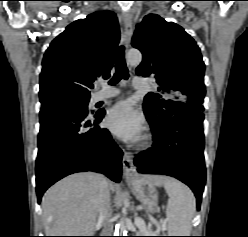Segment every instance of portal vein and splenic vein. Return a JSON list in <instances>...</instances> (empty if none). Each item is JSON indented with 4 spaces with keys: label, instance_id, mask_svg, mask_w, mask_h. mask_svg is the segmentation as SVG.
<instances>
[{
    "label": "portal vein and splenic vein",
    "instance_id": "18ae733b",
    "mask_svg": "<svg viewBox=\"0 0 248 237\" xmlns=\"http://www.w3.org/2000/svg\"><path fill=\"white\" fill-rule=\"evenodd\" d=\"M135 225L137 227L146 228L144 221L142 219H140V218L135 219ZM158 227L160 228L159 224H158Z\"/></svg>",
    "mask_w": 248,
    "mask_h": 237
}]
</instances>
